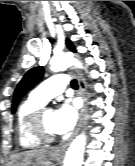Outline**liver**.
Masks as SVG:
<instances>
[{
    "label": "liver",
    "mask_w": 135,
    "mask_h": 166,
    "mask_svg": "<svg viewBox=\"0 0 135 166\" xmlns=\"http://www.w3.org/2000/svg\"><path fill=\"white\" fill-rule=\"evenodd\" d=\"M21 157V161H15L17 166H29L34 163H41L46 166H50V155L51 152L47 150L46 148H40V149H34L29 151L21 152L20 154H17ZM14 155L11 157V159H17Z\"/></svg>",
    "instance_id": "1"
}]
</instances>
